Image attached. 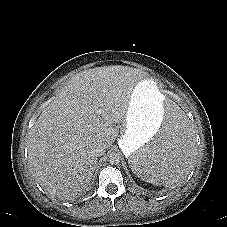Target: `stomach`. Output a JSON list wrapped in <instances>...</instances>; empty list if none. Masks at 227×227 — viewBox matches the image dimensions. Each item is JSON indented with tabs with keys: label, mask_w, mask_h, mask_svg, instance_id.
I'll list each match as a JSON object with an SVG mask.
<instances>
[{
	"label": "stomach",
	"mask_w": 227,
	"mask_h": 227,
	"mask_svg": "<svg viewBox=\"0 0 227 227\" xmlns=\"http://www.w3.org/2000/svg\"><path fill=\"white\" fill-rule=\"evenodd\" d=\"M164 103V95L154 80L143 78L137 83L131 94L122 135L121 147L126 157L157 134L155 124L163 118Z\"/></svg>",
	"instance_id": "0dacf381"
}]
</instances>
